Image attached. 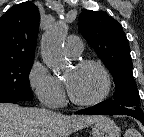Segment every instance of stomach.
<instances>
[{"instance_id": "0dacf381", "label": "stomach", "mask_w": 144, "mask_h": 137, "mask_svg": "<svg viewBox=\"0 0 144 137\" xmlns=\"http://www.w3.org/2000/svg\"><path fill=\"white\" fill-rule=\"evenodd\" d=\"M92 137H120V128L110 118L101 116L92 126Z\"/></svg>"}]
</instances>
